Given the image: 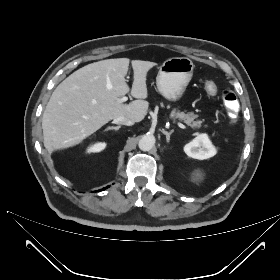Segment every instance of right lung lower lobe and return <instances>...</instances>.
<instances>
[{
    "mask_svg": "<svg viewBox=\"0 0 280 280\" xmlns=\"http://www.w3.org/2000/svg\"><path fill=\"white\" fill-rule=\"evenodd\" d=\"M108 187H109V186H108ZM108 187H106V188H108ZM106 188H103V190L106 189ZM100 191H101V190H100Z\"/></svg>",
    "mask_w": 280,
    "mask_h": 280,
    "instance_id": "obj_1",
    "label": "right lung lower lobe"
}]
</instances>
